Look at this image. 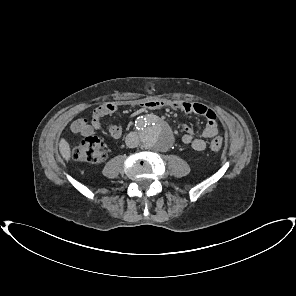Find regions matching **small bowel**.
<instances>
[{"label":"small bowel","instance_id":"obj_1","mask_svg":"<svg viewBox=\"0 0 296 296\" xmlns=\"http://www.w3.org/2000/svg\"><path fill=\"white\" fill-rule=\"evenodd\" d=\"M140 106L149 110L170 107L175 110L195 113L205 117L206 124L201 137L194 138L192 130L189 127L184 128L185 133L181 137V144L189 146L195 151L200 152L205 150L207 145L206 140L216 136L218 133L217 115L213 109L204 104L180 100H147L141 103ZM117 108L118 104L115 102L104 103L93 110L91 120L85 118L75 120L71 124V130L83 136L93 134L94 130H104L112 138L119 139L122 136V128L119 125L107 124L103 121L105 116L113 114Z\"/></svg>","mask_w":296,"mask_h":296}]
</instances>
